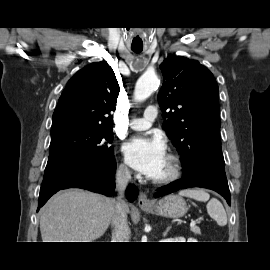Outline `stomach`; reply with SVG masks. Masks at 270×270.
I'll return each mask as SVG.
<instances>
[{
  "label": "stomach",
  "mask_w": 270,
  "mask_h": 270,
  "mask_svg": "<svg viewBox=\"0 0 270 270\" xmlns=\"http://www.w3.org/2000/svg\"><path fill=\"white\" fill-rule=\"evenodd\" d=\"M142 208L152 214L169 218L182 217L188 210L185 200L182 197L173 194L160 199L152 206Z\"/></svg>",
  "instance_id": "0dacf381"
}]
</instances>
